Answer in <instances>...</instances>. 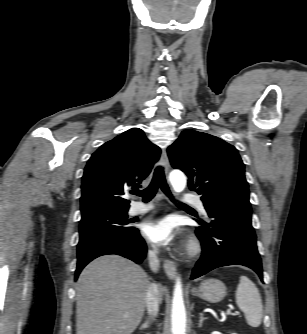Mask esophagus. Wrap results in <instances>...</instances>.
Instances as JSON below:
<instances>
[{
    "label": "esophagus",
    "mask_w": 307,
    "mask_h": 334,
    "mask_svg": "<svg viewBox=\"0 0 307 334\" xmlns=\"http://www.w3.org/2000/svg\"><path fill=\"white\" fill-rule=\"evenodd\" d=\"M161 164L164 168L166 174H168L170 169L169 159L166 150L162 151L161 154ZM163 267L166 275L169 279L173 280L176 276V267L174 261L171 259H164L163 260Z\"/></svg>",
    "instance_id": "1"
}]
</instances>
